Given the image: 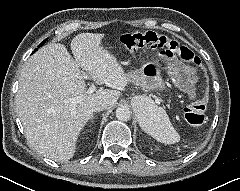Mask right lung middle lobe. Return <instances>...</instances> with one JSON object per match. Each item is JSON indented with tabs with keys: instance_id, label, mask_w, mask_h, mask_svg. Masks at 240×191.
<instances>
[{
	"instance_id": "dd1d6c3e",
	"label": "right lung middle lobe",
	"mask_w": 240,
	"mask_h": 191,
	"mask_svg": "<svg viewBox=\"0 0 240 191\" xmlns=\"http://www.w3.org/2000/svg\"><path fill=\"white\" fill-rule=\"evenodd\" d=\"M46 40H47V39H46ZM46 40H44L38 47L42 46V45L45 43ZM36 50H37V49H36ZM36 50H35V51H36ZM35 51H34V52H35Z\"/></svg>"
}]
</instances>
